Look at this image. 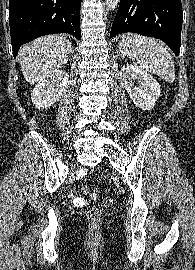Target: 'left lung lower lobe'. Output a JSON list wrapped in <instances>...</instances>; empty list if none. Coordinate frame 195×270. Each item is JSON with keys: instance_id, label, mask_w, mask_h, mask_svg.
Masks as SVG:
<instances>
[{"instance_id": "1", "label": "left lung lower lobe", "mask_w": 195, "mask_h": 270, "mask_svg": "<svg viewBox=\"0 0 195 270\" xmlns=\"http://www.w3.org/2000/svg\"><path fill=\"white\" fill-rule=\"evenodd\" d=\"M182 20L181 0H120L110 38L134 32L161 39L179 55Z\"/></svg>"}]
</instances>
